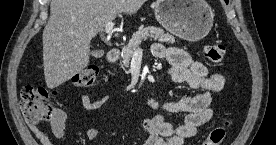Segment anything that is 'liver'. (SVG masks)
I'll use <instances>...</instances> for the list:
<instances>
[{"mask_svg": "<svg viewBox=\"0 0 276 145\" xmlns=\"http://www.w3.org/2000/svg\"><path fill=\"white\" fill-rule=\"evenodd\" d=\"M145 0H51L43 30L45 82L53 89L89 64L90 42L117 14H135Z\"/></svg>", "mask_w": 276, "mask_h": 145, "instance_id": "6515ba94", "label": "liver"}]
</instances>
